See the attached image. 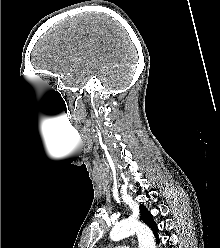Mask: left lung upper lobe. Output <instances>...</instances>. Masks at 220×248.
<instances>
[{"label": "left lung upper lobe", "instance_id": "1", "mask_svg": "<svg viewBox=\"0 0 220 248\" xmlns=\"http://www.w3.org/2000/svg\"><path fill=\"white\" fill-rule=\"evenodd\" d=\"M140 211H141L140 218L144 221L145 224H147L151 228V230L154 233H156L158 231L157 226H156L150 212L143 205L140 206Z\"/></svg>", "mask_w": 220, "mask_h": 248}]
</instances>
